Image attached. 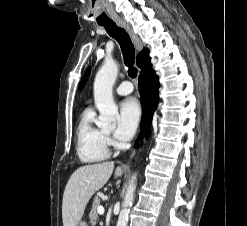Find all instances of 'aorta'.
<instances>
[{
    "label": "aorta",
    "instance_id": "aorta-1",
    "mask_svg": "<svg viewBox=\"0 0 247 226\" xmlns=\"http://www.w3.org/2000/svg\"><path fill=\"white\" fill-rule=\"evenodd\" d=\"M118 74V66L113 61H106L98 71L94 81V101L100 116L97 126L100 128H112L118 117V108L113 99L112 88ZM136 189V174L129 182L123 208L120 212L117 226H127L130 207L133 204Z\"/></svg>",
    "mask_w": 247,
    "mask_h": 226
}]
</instances>
